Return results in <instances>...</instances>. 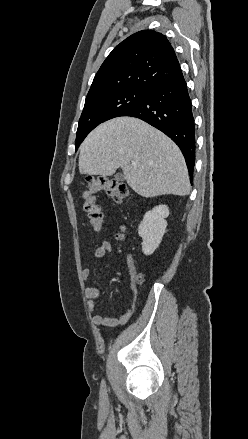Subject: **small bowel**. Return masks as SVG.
<instances>
[{
    "label": "small bowel",
    "instance_id": "1",
    "mask_svg": "<svg viewBox=\"0 0 248 439\" xmlns=\"http://www.w3.org/2000/svg\"><path fill=\"white\" fill-rule=\"evenodd\" d=\"M107 254H113L112 243L107 240L103 241L101 245L98 246L93 252V256L95 259H102ZM127 264H128V271L131 279L130 289L132 293V298L130 300L127 310L119 318L105 316L100 313H94L98 299L100 297V291L92 287H88L85 290L89 311L94 313L93 321L98 326L113 327L119 324H125L131 319V317L134 315L136 311L139 292L137 288L136 269L133 259L131 257H128ZM91 274H92L91 269L89 268L83 269L81 273L82 279L88 280L91 277Z\"/></svg>",
    "mask_w": 248,
    "mask_h": 439
}]
</instances>
